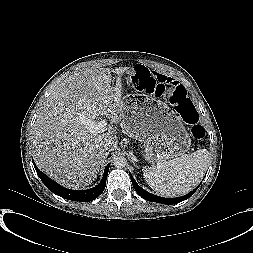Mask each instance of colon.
Listing matches in <instances>:
<instances>
[{"mask_svg":"<svg viewBox=\"0 0 253 253\" xmlns=\"http://www.w3.org/2000/svg\"><path fill=\"white\" fill-rule=\"evenodd\" d=\"M150 73L142 66H132L127 70L126 76L132 82L135 79H148ZM157 93H166L171 102L174 104L176 111L180 114L183 120L189 123L191 134L197 141H201L205 136L204 128L198 123V113L191 103L185 88L182 85L171 82L169 84L159 85Z\"/></svg>","mask_w":253,"mask_h":253,"instance_id":"obj_1","label":"colon"}]
</instances>
